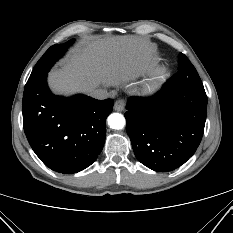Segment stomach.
I'll list each match as a JSON object with an SVG mask.
<instances>
[{
    "label": "stomach",
    "instance_id": "stomach-1",
    "mask_svg": "<svg viewBox=\"0 0 233 233\" xmlns=\"http://www.w3.org/2000/svg\"><path fill=\"white\" fill-rule=\"evenodd\" d=\"M155 85L156 83L154 82V78L147 79L144 82L145 90L147 91H150Z\"/></svg>",
    "mask_w": 233,
    "mask_h": 233
}]
</instances>
